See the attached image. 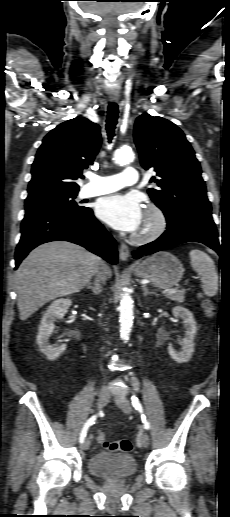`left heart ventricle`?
Masks as SVG:
<instances>
[{
  "instance_id": "obj_1",
  "label": "left heart ventricle",
  "mask_w": 230,
  "mask_h": 517,
  "mask_svg": "<svg viewBox=\"0 0 230 517\" xmlns=\"http://www.w3.org/2000/svg\"><path fill=\"white\" fill-rule=\"evenodd\" d=\"M151 223H152V221H151L150 217H148L146 214H144L143 221H142V224H141L138 232L148 229L151 226Z\"/></svg>"
}]
</instances>
